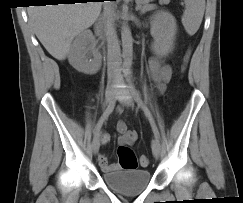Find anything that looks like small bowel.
I'll return each mask as SVG.
<instances>
[{
    "label": "small bowel",
    "instance_id": "small-bowel-1",
    "mask_svg": "<svg viewBox=\"0 0 243 203\" xmlns=\"http://www.w3.org/2000/svg\"><path fill=\"white\" fill-rule=\"evenodd\" d=\"M149 72L153 80L158 84L161 90L164 89L165 84L171 79L172 68L169 65L162 64L156 59H151L148 63ZM124 106L119 108L122 112ZM117 131L119 133L118 142L120 145H132L137 140L138 134L135 130H128L127 125L123 121L117 123ZM101 141L103 144H107L110 141V135L108 133H103ZM98 162L102 170L105 172L116 171L120 168L119 163H109L108 158L104 154L98 155Z\"/></svg>",
    "mask_w": 243,
    "mask_h": 203
}]
</instances>
